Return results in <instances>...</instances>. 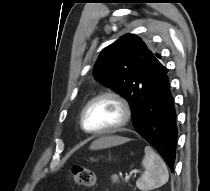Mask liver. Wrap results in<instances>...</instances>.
I'll return each mask as SVG.
<instances>
[{"mask_svg": "<svg viewBox=\"0 0 210 191\" xmlns=\"http://www.w3.org/2000/svg\"><path fill=\"white\" fill-rule=\"evenodd\" d=\"M130 139L121 136H105L95 140L91 146V150H99L112 146H117L128 142Z\"/></svg>", "mask_w": 210, "mask_h": 191, "instance_id": "obj_1", "label": "liver"}]
</instances>
